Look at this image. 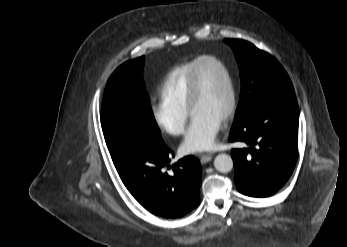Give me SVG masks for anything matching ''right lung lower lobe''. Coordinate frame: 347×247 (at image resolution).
Returning a JSON list of instances; mask_svg holds the SVG:
<instances>
[{
  "mask_svg": "<svg viewBox=\"0 0 347 247\" xmlns=\"http://www.w3.org/2000/svg\"><path fill=\"white\" fill-rule=\"evenodd\" d=\"M110 153L126 188L151 213L173 219L198 206L201 167L195 157L170 166L174 154L164 142L154 147L138 136L120 138Z\"/></svg>",
  "mask_w": 347,
  "mask_h": 247,
  "instance_id": "obj_1",
  "label": "right lung lower lobe"
}]
</instances>
